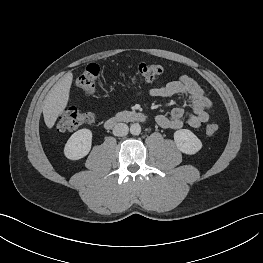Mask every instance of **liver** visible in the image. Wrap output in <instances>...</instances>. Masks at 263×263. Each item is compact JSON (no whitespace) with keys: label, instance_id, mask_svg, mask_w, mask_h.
I'll list each match as a JSON object with an SVG mask.
<instances>
[{"label":"liver","instance_id":"6515ba94","mask_svg":"<svg viewBox=\"0 0 263 263\" xmlns=\"http://www.w3.org/2000/svg\"><path fill=\"white\" fill-rule=\"evenodd\" d=\"M73 81V74L71 72L66 73L48 92L44 100L43 105V117L46 126L51 129L58 116L66 108L70 88Z\"/></svg>","mask_w":263,"mask_h":263}]
</instances>
